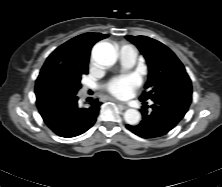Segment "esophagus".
Masks as SVG:
<instances>
[{
  "instance_id": "1",
  "label": "esophagus",
  "mask_w": 222,
  "mask_h": 187,
  "mask_svg": "<svg viewBox=\"0 0 222 187\" xmlns=\"http://www.w3.org/2000/svg\"><path fill=\"white\" fill-rule=\"evenodd\" d=\"M119 105L123 108V109H128L129 105L127 103L124 102H119Z\"/></svg>"
}]
</instances>
